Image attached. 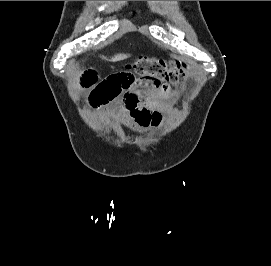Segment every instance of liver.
Returning <instances> with one entry per match:
<instances>
[{
  "label": "liver",
  "mask_w": 271,
  "mask_h": 266,
  "mask_svg": "<svg viewBox=\"0 0 271 266\" xmlns=\"http://www.w3.org/2000/svg\"><path fill=\"white\" fill-rule=\"evenodd\" d=\"M128 57H129V55L118 54V55H115L114 57H112L111 61H120V60H124V59H126Z\"/></svg>",
  "instance_id": "1"
}]
</instances>
